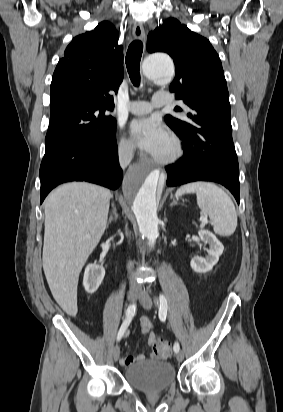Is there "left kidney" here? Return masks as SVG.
Here are the masks:
<instances>
[{
	"label": "left kidney",
	"mask_w": 283,
	"mask_h": 412,
	"mask_svg": "<svg viewBox=\"0 0 283 412\" xmlns=\"http://www.w3.org/2000/svg\"><path fill=\"white\" fill-rule=\"evenodd\" d=\"M198 235L200 239L209 244V249L207 250L208 255L206 258L194 257L191 262V268L197 273H206L212 270L213 266L218 262L219 257L222 255L224 246L208 230H199Z\"/></svg>",
	"instance_id": "obj_1"
}]
</instances>
